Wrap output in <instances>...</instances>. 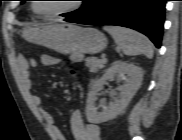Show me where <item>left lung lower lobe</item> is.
Returning a JSON list of instances; mask_svg holds the SVG:
<instances>
[{
	"label": "left lung lower lobe",
	"mask_w": 182,
	"mask_h": 140,
	"mask_svg": "<svg viewBox=\"0 0 182 140\" xmlns=\"http://www.w3.org/2000/svg\"><path fill=\"white\" fill-rule=\"evenodd\" d=\"M166 0H100L88 15L65 21L88 25H116L137 30L161 46Z\"/></svg>",
	"instance_id": "obj_1"
}]
</instances>
